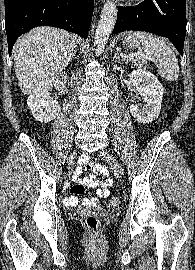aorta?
Here are the masks:
<instances>
[{"instance_id": "762f6f07", "label": "aorta", "mask_w": 195, "mask_h": 270, "mask_svg": "<svg viewBox=\"0 0 195 270\" xmlns=\"http://www.w3.org/2000/svg\"><path fill=\"white\" fill-rule=\"evenodd\" d=\"M117 6L114 0H107L98 22L95 33V46L97 52L101 53L107 43L117 20Z\"/></svg>"}]
</instances>
